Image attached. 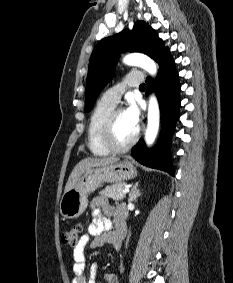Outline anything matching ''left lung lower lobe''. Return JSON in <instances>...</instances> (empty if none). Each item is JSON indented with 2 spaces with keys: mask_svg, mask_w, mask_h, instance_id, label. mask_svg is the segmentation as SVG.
Returning <instances> with one entry per match:
<instances>
[{
  "mask_svg": "<svg viewBox=\"0 0 233 283\" xmlns=\"http://www.w3.org/2000/svg\"><path fill=\"white\" fill-rule=\"evenodd\" d=\"M157 63L160 67L157 79L156 81H152L151 78L146 79V95L154 90L159 101L162 121L160 140L153 149H147L144 142L140 140L132 149L131 155L145 166L164 170L174 175L170 161L169 145L175 123L179 118L181 102L179 91L181 86L178 80V72L174 67V60L168 50Z\"/></svg>",
  "mask_w": 233,
  "mask_h": 283,
  "instance_id": "left-lung-lower-lobe-1",
  "label": "left lung lower lobe"
}]
</instances>
